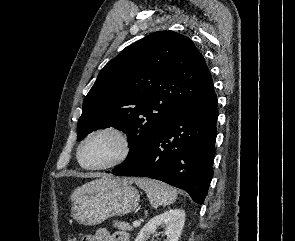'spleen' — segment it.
<instances>
[{"label": "spleen", "mask_w": 295, "mask_h": 241, "mask_svg": "<svg viewBox=\"0 0 295 241\" xmlns=\"http://www.w3.org/2000/svg\"><path fill=\"white\" fill-rule=\"evenodd\" d=\"M135 182L145 191L154 208L170 205L177 199V190L163 182L148 178H137Z\"/></svg>", "instance_id": "spleen-1"}]
</instances>
